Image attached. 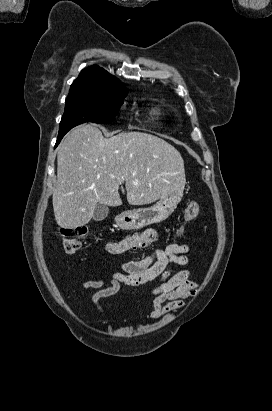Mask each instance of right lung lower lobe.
<instances>
[{
    "label": "right lung lower lobe",
    "instance_id": "98d812e1",
    "mask_svg": "<svg viewBox=\"0 0 272 411\" xmlns=\"http://www.w3.org/2000/svg\"><path fill=\"white\" fill-rule=\"evenodd\" d=\"M62 138H63V136L58 137L57 142H56V146L59 144V142L61 141Z\"/></svg>",
    "mask_w": 272,
    "mask_h": 411
}]
</instances>
